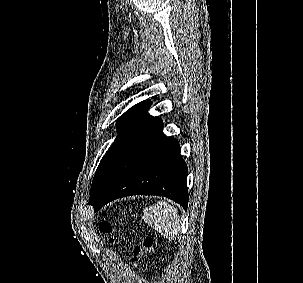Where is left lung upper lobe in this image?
<instances>
[{
    "label": "left lung upper lobe",
    "instance_id": "1",
    "mask_svg": "<svg viewBox=\"0 0 303 283\" xmlns=\"http://www.w3.org/2000/svg\"><path fill=\"white\" fill-rule=\"evenodd\" d=\"M150 105V100L142 101L132 106L118 119V135L108 152L100 161L93 178L90 196L93 195L105 181L119 153L145 118Z\"/></svg>",
    "mask_w": 303,
    "mask_h": 283
}]
</instances>
